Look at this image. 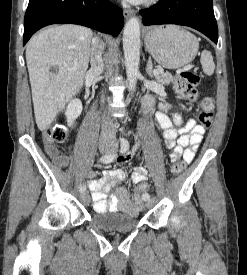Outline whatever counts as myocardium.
<instances>
[{"instance_id": "obj_1", "label": "myocardium", "mask_w": 247, "mask_h": 275, "mask_svg": "<svg viewBox=\"0 0 247 275\" xmlns=\"http://www.w3.org/2000/svg\"><path fill=\"white\" fill-rule=\"evenodd\" d=\"M158 0H142L141 2L144 4V5H152L154 3H156Z\"/></svg>"}]
</instances>
